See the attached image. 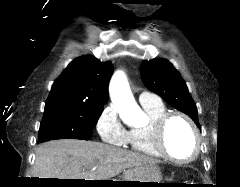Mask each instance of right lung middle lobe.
<instances>
[{
    "instance_id": "right-lung-middle-lobe-1",
    "label": "right lung middle lobe",
    "mask_w": 240,
    "mask_h": 187,
    "mask_svg": "<svg viewBox=\"0 0 240 187\" xmlns=\"http://www.w3.org/2000/svg\"><path fill=\"white\" fill-rule=\"evenodd\" d=\"M103 107L61 104L45 108L38 142L72 138L89 140Z\"/></svg>"
}]
</instances>
